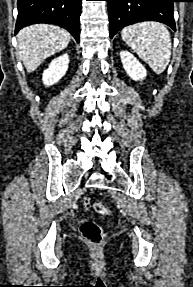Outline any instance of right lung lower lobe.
Here are the masks:
<instances>
[{
	"label": "right lung lower lobe",
	"mask_w": 193,
	"mask_h": 287,
	"mask_svg": "<svg viewBox=\"0 0 193 287\" xmlns=\"http://www.w3.org/2000/svg\"><path fill=\"white\" fill-rule=\"evenodd\" d=\"M82 0H18L15 33L35 23H52L68 30L79 42Z\"/></svg>",
	"instance_id": "1"
}]
</instances>
